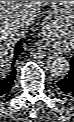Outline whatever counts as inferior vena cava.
Returning a JSON list of instances; mask_svg holds the SVG:
<instances>
[{
  "instance_id": "obj_1",
  "label": "inferior vena cava",
  "mask_w": 74,
  "mask_h": 122,
  "mask_svg": "<svg viewBox=\"0 0 74 122\" xmlns=\"http://www.w3.org/2000/svg\"><path fill=\"white\" fill-rule=\"evenodd\" d=\"M31 26V20L27 19V21H24L21 25L22 28H29Z\"/></svg>"
}]
</instances>
